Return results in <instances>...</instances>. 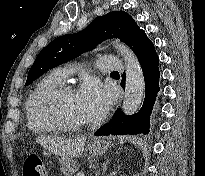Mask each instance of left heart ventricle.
Instances as JSON below:
<instances>
[{"mask_svg": "<svg viewBox=\"0 0 205 176\" xmlns=\"http://www.w3.org/2000/svg\"><path fill=\"white\" fill-rule=\"evenodd\" d=\"M57 108L60 118L65 122L82 124L88 121L74 93L62 96L57 102Z\"/></svg>", "mask_w": 205, "mask_h": 176, "instance_id": "b2bd125f", "label": "left heart ventricle"}]
</instances>
